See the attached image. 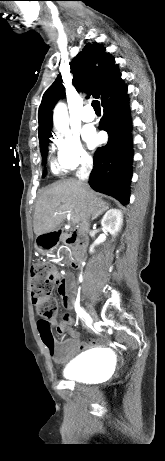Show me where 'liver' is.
Wrapping results in <instances>:
<instances>
[{
    "mask_svg": "<svg viewBox=\"0 0 165 461\" xmlns=\"http://www.w3.org/2000/svg\"><path fill=\"white\" fill-rule=\"evenodd\" d=\"M108 203L80 180L68 179L46 189L38 199L34 214V233L41 236L55 230L67 213L79 224V233L89 230L90 218L107 210Z\"/></svg>",
    "mask_w": 165,
    "mask_h": 461,
    "instance_id": "obj_1",
    "label": "liver"
}]
</instances>
